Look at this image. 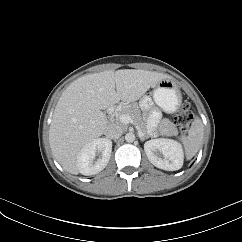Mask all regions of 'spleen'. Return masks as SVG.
<instances>
[{"mask_svg":"<svg viewBox=\"0 0 242 242\" xmlns=\"http://www.w3.org/2000/svg\"><path fill=\"white\" fill-rule=\"evenodd\" d=\"M203 136V123L199 118H196L189 129L188 135L180 138L184 144L187 159H191L198 152L202 144Z\"/></svg>","mask_w":242,"mask_h":242,"instance_id":"1","label":"spleen"}]
</instances>
